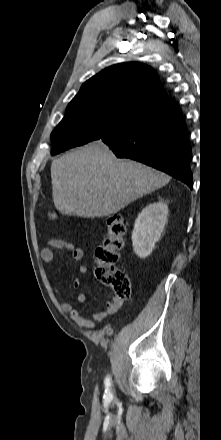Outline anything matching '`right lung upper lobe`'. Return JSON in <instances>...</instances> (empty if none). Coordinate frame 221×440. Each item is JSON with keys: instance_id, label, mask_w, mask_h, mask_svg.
Masks as SVG:
<instances>
[{"instance_id": "cb5924a9", "label": "right lung upper lobe", "mask_w": 221, "mask_h": 440, "mask_svg": "<svg viewBox=\"0 0 221 440\" xmlns=\"http://www.w3.org/2000/svg\"><path fill=\"white\" fill-rule=\"evenodd\" d=\"M165 96L156 72L131 62L113 65L90 78L70 103L109 101L136 111Z\"/></svg>"}]
</instances>
